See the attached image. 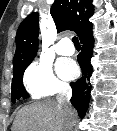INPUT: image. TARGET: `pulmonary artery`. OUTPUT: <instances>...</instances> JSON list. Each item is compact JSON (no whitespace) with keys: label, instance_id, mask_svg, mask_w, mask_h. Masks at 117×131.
<instances>
[{"label":"pulmonary artery","instance_id":"pulmonary-artery-1","mask_svg":"<svg viewBox=\"0 0 117 131\" xmlns=\"http://www.w3.org/2000/svg\"><path fill=\"white\" fill-rule=\"evenodd\" d=\"M74 51H75V49H74L71 41L68 38H62L56 44V52L59 55L70 56V55L74 54Z\"/></svg>","mask_w":117,"mask_h":131}]
</instances>
